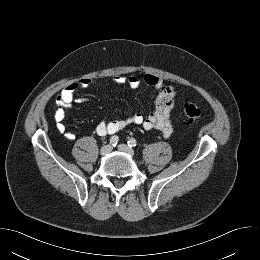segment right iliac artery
Segmentation results:
<instances>
[{"label":"right iliac artery","instance_id":"obj_1","mask_svg":"<svg viewBox=\"0 0 260 260\" xmlns=\"http://www.w3.org/2000/svg\"><path fill=\"white\" fill-rule=\"evenodd\" d=\"M118 141H119L118 136H112V137L110 138V143H111L113 146H116L117 143H118Z\"/></svg>","mask_w":260,"mask_h":260}]
</instances>
